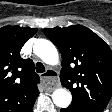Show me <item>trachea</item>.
<instances>
[{
  "label": "trachea",
  "mask_w": 112,
  "mask_h": 112,
  "mask_svg": "<svg viewBox=\"0 0 112 112\" xmlns=\"http://www.w3.org/2000/svg\"><path fill=\"white\" fill-rule=\"evenodd\" d=\"M36 72L37 73H43V72H45V67H44L43 63H41V62H37L36 63Z\"/></svg>",
  "instance_id": "3493384b"
}]
</instances>
